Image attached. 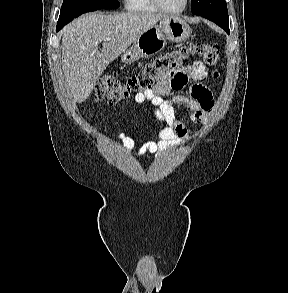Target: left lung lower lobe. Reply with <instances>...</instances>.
Returning a JSON list of instances; mask_svg holds the SVG:
<instances>
[{"instance_id": "left-lung-lower-lobe-1", "label": "left lung lower lobe", "mask_w": 288, "mask_h": 293, "mask_svg": "<svg viewBox=\"0 0 288 293\" xmlns=\"http://www.w3.org/2000/svg\"><path fill=\"white\" fill-rule=\"evenodd\" d=\"M225 31H226L228 34L230 33L229 29H225Z\"/></svg>"}]
</instances>
